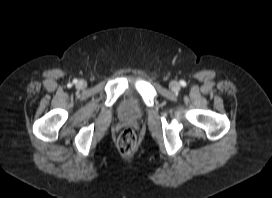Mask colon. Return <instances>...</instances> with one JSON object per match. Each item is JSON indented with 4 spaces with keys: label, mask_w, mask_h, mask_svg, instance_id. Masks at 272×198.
I'll list each match as a JSON object with an SVG mask.
<instances>
[{
    "label": "colon",
    "mask_w": 272,
    "mask_h": 198,
    "mask_svg": "<svg viewBox=\"0 0 272 198\" xmlns=\"http://www.w3.org/2000/svg\"><path fill=\"white\" fill-rule=\"evenodd\" d=\"M136 144L137 136L132 128L127 127L120 132L117 139V145L123 154L131 153L135 149Z\"/></svg>",
    "instance_id": "5ec220e1"
}]
</instances>
